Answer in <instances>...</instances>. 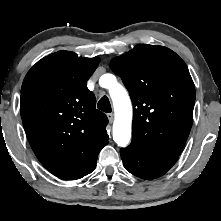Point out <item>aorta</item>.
<instances>
[{"instance_id":"obj_1","label":"aorta","mask_w":221,"mask_h":221,"mask_svg":"<svg viewBox=\"0 0 221 221\" xmlns=\"http://www.w3.org/2000/svg\"><path fill=\"white\" fill-rule=\"evenodd\" d=\"M106 88L113 101L115 120L113 124V139L121 147H126L131 139L132 104L126 89L116 83L115 77L106 76Z\"/></svg>"}]
</instances>
